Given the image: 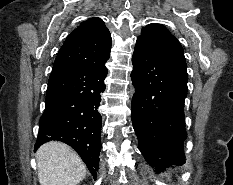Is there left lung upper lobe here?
Returning a JSON list of instances; mask_svg holds the SVG:
<instances>
[{
	"mask_svg": "<svg viewBox=\"0 0 233 185\" xmlns=\"http://www.w3.org/2000/svg\"><path fill=\"white\" fill-rule=\"evenodd\" d=\"M155 48L185 60L179 41L164 26L156 23L147 25L138 37Z\"/></svg>",
	"mask_w": 233,
	"mask_h": 185,
	"instance_id": "1",
	"label": "left lung upper lobe"
}]
</instances>
